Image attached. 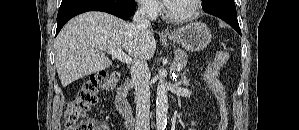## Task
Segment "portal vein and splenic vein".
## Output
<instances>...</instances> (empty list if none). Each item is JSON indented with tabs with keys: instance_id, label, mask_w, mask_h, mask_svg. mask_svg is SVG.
I'll return each mask as SVG.
<instances>
[{
	"instance_id": "portal-vein-and-splenic-vein-1",
	"label": "portal vein and splenic vein",
	"mask_w": 299,
	"mask_h": 130,
	"mask_svg": "<svg viewBox=\"0 0 299 130\" xmlns=\"http://www.w3.org/2000/svg\"><path fill=\"white\" fill-rule=\"evenodd\" d=\"M107 53L111 54L114 58L118 59L123 63L129 64L132 61V58L129 55L125 54L122 49H110L107 50ZM181 69L182 67L180 65H176V70L178 72H180Z\"/></svg>"
}]
</instances>
